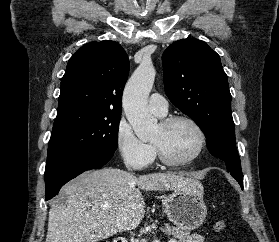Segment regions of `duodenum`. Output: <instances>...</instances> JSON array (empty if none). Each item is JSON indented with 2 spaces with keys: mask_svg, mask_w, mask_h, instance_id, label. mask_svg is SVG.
<instances>
[{
  "mask_svg": "<svg viewBox=\"0 0 279 242\" xmlns=\"http://www.w3.org/2000/svg\"><path fill=\"white\" fill-rule=\"evenodd\" d=\"M113 242H127V240L124 238H116L113 240Z\"/></svg>",
  "mask_w": 279,
  "mask_h": 242,
  "instance_id": "1",
  "label": "duodenum"
}]
</instances>
